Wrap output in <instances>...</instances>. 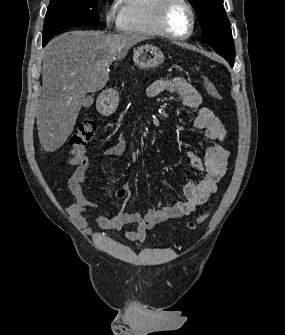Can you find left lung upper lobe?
Listing matches in <instances>:
<instances>
[{"instance_id": "1", "label": "left lung upper lobe", "mask_w": 285, "mask_h": 335, "mask_svg": "<svg viewBox=\"0 0 285 335\" xmlns=\"http://www.w3.org/2000/svg\"><path fill=\"white\" fill-rule=\"evenodd\" d=\"M194 7L202 29V40L230 65L235 60L231 25L226 17L223 0H189Z\"/></svg>"}]
</instances>
